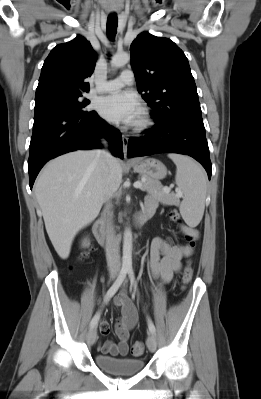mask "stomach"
<instances>
[{
    "label": "stomach",
    "instance_id": "stomach-1",
    "mask_svg": "<svg viewBox=\"0 0 261 399\" xmlns=\"http://www.w3.org/2000/svg\"><path fill=\"white\" fill-rule=\"evenodd\" d=\"M132 166L136 172L154 180L163 179L167 174L166 166L154 158L136 159L132 162Z\"/></svg>",
    "mask_w": 261,
    "mask_h": 399
}]
</instances>
